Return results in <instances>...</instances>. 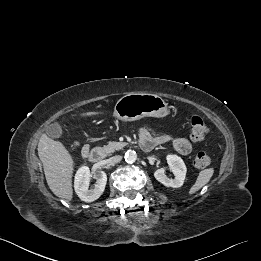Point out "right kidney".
<instances>
[{
    "label": "right kidney",
    "mask_w": 261,
    "mask_h": 261,
    "mask_svg": "<svg viewBox=\"0 0 261 261\" xmlns=\"http://www.w3.org/2000/svg\"><path fill=\"white\" fill-rule=\"evenodd\" d=\"M94 177L97 182L93 189H89L90 179ZM107 175L103 171L91 174L89 167L82 166L75 175L74 189L78 197L85 202L97 200L104 192Z\"/></svg>",
    "instance_id": "1"
}]
</instances>
